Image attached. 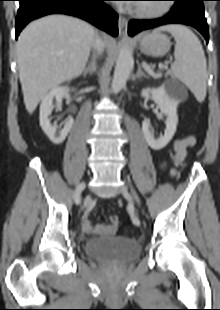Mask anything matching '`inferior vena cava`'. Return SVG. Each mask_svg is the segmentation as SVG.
<instances>
[{
	"label": "inferior vena cava",
	"instance_id": "1",
	"mask_svg": "<svg viewBox=\"0 0 220 310\" xmlns=\"http://www.w3.org/2000/svg\"><path fill=\"white\" fill-rule=\"evenodd\" d=\"M92 46L98 54H102L104 50V42L98 36L93 40Z\"/></svg>",
	"mask_w": 220,
	"mask_h": 310
}]
</instances>
